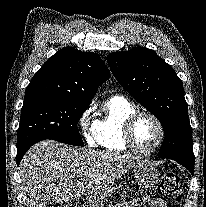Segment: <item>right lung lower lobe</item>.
I'll use <instances>...</instances> for the list:
<instances>
[{
  "label": "right lung lower lobe",
  "mask_w": 206,
  "mask_h": 207,
  "mask_svg": "<svg viewBox=\"0 0 206 207\" xmlns=\"http://www.w3.org/2000/svg\"><path fill=\"white\" fill-rule=\"evenodd\" d=\"M28 150V149H27ZM27 150H21V151H17V155H16V162H17V165H19L23 155L25 154V152Z\"/></svg>",
  "instance_id": "obj_1"
}]
</instances>
